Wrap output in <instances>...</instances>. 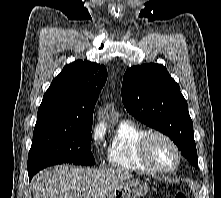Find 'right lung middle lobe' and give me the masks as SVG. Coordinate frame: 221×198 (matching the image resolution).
Masks as SVG:
<instances>
[{
	"label": "right lung middle lobe",
	"instance_id": "1",
	"mask_svg": "<svg viewBox=\"0 0 221 198\" xmlns=\"http://www.w3.org/2000/svg\"><path fill=\"white\" fill-rule=\"evenodd\" d=\"M91 130L92 125L81 129L35 127L28 154V175L55 164L94 165Z\"/></svg>",
	"mask_w": 221,
	"mask_h": 198
}]
</instances>
